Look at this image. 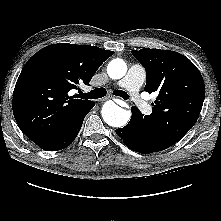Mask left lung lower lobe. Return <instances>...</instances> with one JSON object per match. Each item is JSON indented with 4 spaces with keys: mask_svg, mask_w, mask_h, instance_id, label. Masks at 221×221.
Here are the masks:
<instances>
[{
    "mask_svg": "<svg viewBox=\"0 0 221 221\" xmlns=\"http://www.w3.org/2000/svg\"><path fill=\"white\" fill-rule=\"evenodd\" d=\"M143 114L135 106L132 107L130 122L123 128L116 129V133L128 148L140 153H152L164 150L158 147L149 132L141 126Z\"/></svg>",
    "mask_w": 221,
    "mask_h": 221,
    "instance_id": "0a47b994",
    "label": "left lung lower lobe"
}]
</instances>
